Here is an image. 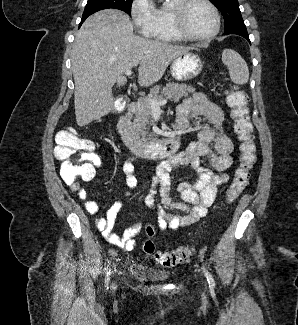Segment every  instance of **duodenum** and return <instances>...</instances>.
Returning a JSON list of instances; mask_svg holds the SVG:
<instances>
[{
    "instance_id": "1",
    "label": "duodenum",
    "mask_w": 298,
    "mask_h": 325,
    "mask_svg": "<svg viewBox=\"0 0 298 325\" xmlns=\"http://www.w3.org/2000/svg\"><path fill=\"white\" fill-rule=\"evenodd\" d=\"M137 110V104L130 102L124 114L117 123V129L124 145L135 155L148 158H163L174 154L179 146V139L176 133L155 141H142L138 139L131 130V118ZM188 112L185 109H178L177 125L179 128L185 125Z\"/></svg>"
}]
</instances>
